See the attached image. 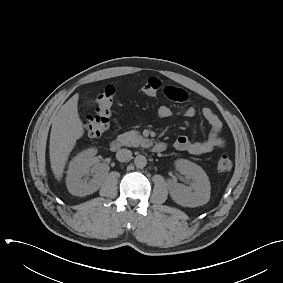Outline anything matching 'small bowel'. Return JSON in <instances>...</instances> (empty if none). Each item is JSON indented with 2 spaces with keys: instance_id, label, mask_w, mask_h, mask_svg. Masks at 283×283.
<instances>
[{
  "instance_id": "small-bowel-1",
  "label": "small bowel",
  "mask_w": 283,
  "mask_h": 283,
  "mask_svg": "<svg viewBox=\"0 0 283 283\" xmlns=\"http://www.w3.org/2000/svg\"><path fill=\"white\" fill-rule=\"evenodd\" d=\"M163 92L165 96L172 101L183 102L187 100V93L182 88L173 85H165ZM173 114V110L168 106L159 107L157 112L158 117L161 119H168ZM183 115L188 118H193L197 115V110L194 107H187L184 109ZM202 116L210 125V132L207 139L203 141H191L187 136H180L173 144L175 150L200 156L208 154L216 148L224 147L225 141L221 136V120L210 108H203Z\"/></svg>"
}]
</instances>
